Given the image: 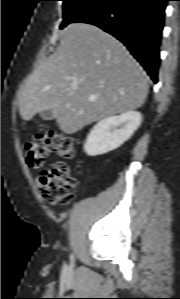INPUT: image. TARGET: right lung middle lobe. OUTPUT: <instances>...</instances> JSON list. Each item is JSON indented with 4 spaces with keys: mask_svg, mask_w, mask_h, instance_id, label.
Returning a JSON list of instances; mask_svg holds the SVG:
<instances>
[{
    "mask_svg": "<svg viewBox=\"0 0 180 299\" xmlns=\"http://www.w3.org/2000/svg\"><path fill=\"white\" fill-rule=\"evenodd\" d=\"M64 20L60 29L64 28L67 24L74 22L86 11L97 5L103 0H62Z\"/></svg>",
    "mask_w": 180,
    "mask_h": 299,
    "instance_id": "dd1d6c3e",
    "label": "right lung middle lobe"
}]
</instances>
